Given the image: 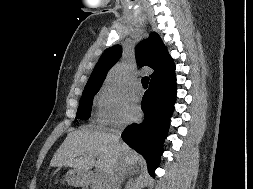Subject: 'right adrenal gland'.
Returning <instances> with one entry per match:
<instances>
[{
  "mask_svg": "<svg viewBox=\"0 0 253 189\" xmlns=\"http://www.w3.org/2000/svg\"><path fill=\"white\" fill-rule=\"evenodd\" d=\"M137 171H138V167L137 166H130V167H128L127 171H126L125 178H128L129 176L133 175Z\"/></svg>",
  "mask_w": 253,
  "mask_h": 189,
  "instance_id": "1",
  "label": "right adrenal gland"
}]
</instances>
